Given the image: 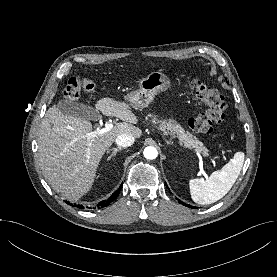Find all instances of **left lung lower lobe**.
Here are the masks:
<instances>
[{
  "instance_id": "1",
  "label": "left lung lower lobe",
  "mask_w": 277,
  "mask_h": 277,
  "mask_svg": "<svg viewBox=\"0 0 277 277\" xmlns=\"http://www.w3.org/2000/svg\"><path fill=\"white\" fill-rule=\"evenodd\" d=\"M166 186H167V184H166ZM168 188V187H167ZM179 201V203H181V204H183V202L181 201V200H178ZM186 205V204H185ZM186 206H188V207H191V208H195V207H192V206H190V205H186Z\"/></svg>"
}]
</instances>
